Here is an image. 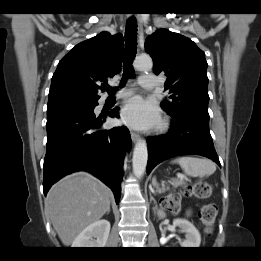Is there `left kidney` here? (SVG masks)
Listing matches in <instances>:
<instances>
[{"instance_id":"left-kidney-1","label":"left kidney","mask_w":261,"mask_h":261,"mask_svg":"<svg viewBox=\"0 0 261 261\" xmlns=\"http://www.w3.org/2000/svg\"><path fill=\"white\" fill-rule=\"evenodd\" d=\"M174 226L180 228L181 232L185 233V240L180 242L182 248H198L201 243V236L196 227L185 219H175Z\"/></svg>"}]
</instances>
